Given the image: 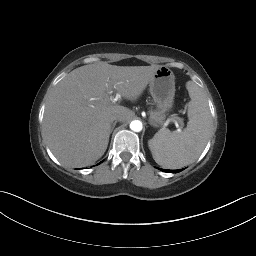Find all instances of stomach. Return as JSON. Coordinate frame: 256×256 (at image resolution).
<instances>
[{"instance_id": "1", "label": "stomach", "mask_w": 256, "mask_h": 256, "mask_svg": "<svg viewBox=\"0 0 256 256\" xmlns=\"http://www.w3.org/2000/svg\"><path fill=\"white\" fill-rule=\"evenodd\" d=\"M150 94L161 109V111H169L174 105L175 96V76L167 67L161 66L149 83Z\"/></svg>"}]
</instances>
